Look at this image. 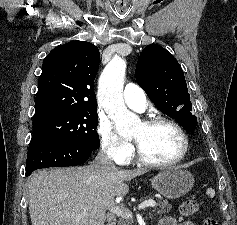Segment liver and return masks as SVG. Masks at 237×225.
Listing matches in <instances>:
<instances>
[{
    "label": "liver",
    "instance_id": "liver-1",
    "mask_svg": "<svg viewBox=\"0 0 237 225\" xmlns=\"http://www.w3.org/2000/svg\"><path fill=\"white\" fill-rule=\"evenodd\" d=\"M146 172L94 164L39 171L28 185L32 225H104L114 198L129 192L124 181Z\"/></svg>",
    "mask_w": 237,
    "mask_h": 225
}]
</instances>
